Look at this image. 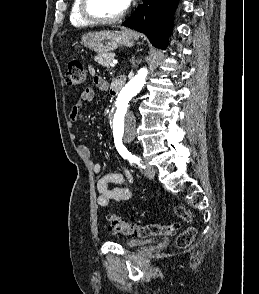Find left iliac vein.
I'll use <instances>...</instances> for the list:
<instances>
[{"mask_svg": "<svg viewBox=\"0 0 259 294\" xmlns=\"http://www.w3.org/2000/svg\"><path fill=\"white\" fill-rule=\"evenodd\" d=\"M144 174L148 178L153 179L155 177V168L152 165H150V164H146L145 165Z\"/></svg>", "mask_w": 259, "mask_h": 294, "instance_id": "1", "label": "left iliac vein"}]
</instances>
